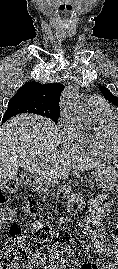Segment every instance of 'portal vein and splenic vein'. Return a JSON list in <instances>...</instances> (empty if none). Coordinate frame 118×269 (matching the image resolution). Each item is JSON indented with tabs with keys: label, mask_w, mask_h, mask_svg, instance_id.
Segmentation results:
<instances>
[{
	"label": "portal vein and splenic vein",
	"mask_w": 118,
	"mask_h": 269,
	"mask_svg": "<svg viewBox=\"0 0 118 269\" xmlns=\"http://www.w3.org/2000/svg\"><path fill=\"white\" fill-rule=\"evenodd\" d=\"M39 172H42V171H39ZM47 174H48L49 177H52V175H53L52 172H50V173L48 172Z\"/></svg>",
	"instance_id": "18ae733b"
}]
</instances>
